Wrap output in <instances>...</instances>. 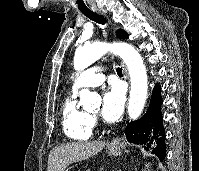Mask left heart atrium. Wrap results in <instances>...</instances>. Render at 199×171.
<instances>
[{
	"mask_svg": "<svg viewBox=\"0 0 199 171\" xmlns=\"http://www.w3.org/2000/svg\"><path fill=\"white\" fill-rule=\"evenodd\" d=\"M125 94L120 84L109 86L103 93L101 115L107 122L117 121L124 109Z\"/></svg>",
	"mask_w": 199,
	"mask_h": 171,
	"instance_id": "left-heart-atrium-1",
	"label": "left heart atrium"
}]
</instances>
